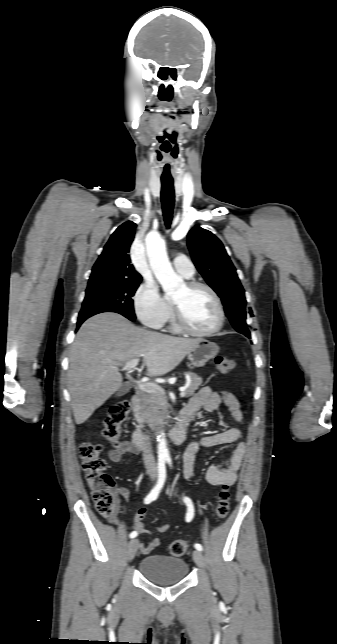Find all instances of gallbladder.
<instances>
[{
	"label": "gallbladder",
	"instance_id": "1",
	"mask_svg": "<svg viewBox=\"0 0 337 644\" xmlns=\"http://www.w3.org/2000/svg\"><path fill=\"white\" fill-rule=\"evenodd\" d=\"M129 391V386L127 384H122V386L117 391V396L125 395Z\"/></svg>",
	"mask_w": 337,
	"mask_h": 644
}]
</instances>
